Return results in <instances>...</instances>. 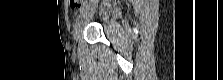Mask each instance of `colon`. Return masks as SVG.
Segmentation results:
<instances>
[{"label": "colon", "instance_id": "1", "mask_svg": "<svg viewBox=\"0 0 223 80\" xmlns=\"http://www.w3.org/2000/svg\"><path fill=\"white\" fill-rule=\"evenodd\" d=\"M83 3V0H69L70 7L73 9L80 8Z\"/></svg>", "mask_w": 223, "mask_h": 80}]
</instances>
